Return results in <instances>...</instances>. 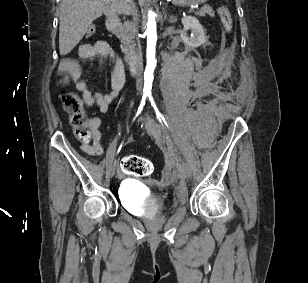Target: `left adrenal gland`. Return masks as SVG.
<instances>
[{
  "label": "left adrenal gland",
  "mask_w": 308,
  "mask_h": 283,
  "mask_svg": "<svg viewBox=\"0 0 308 283\" xmlns=\"http://www.w3.org/2000/svg\"><path fill=\"white\" fill-rule=\"evenodd\" d=\"M164 18L166 19V14H165ZM174 20H175L174 17L171 16V17H170V22H174Z\"/></svg>",
  "instance_id": "1"
}]
</instances>
